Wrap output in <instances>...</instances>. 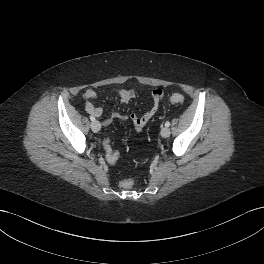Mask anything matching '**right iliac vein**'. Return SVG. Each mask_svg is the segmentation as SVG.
I'll list each match as a JSON object with an SVG mask.
<instances>
[{
	"mask_svg": "<svg viewBox=\"0 0 264 264\" xmlns=\"http://www.w3.org/2000/svg\"><path fill=\"white\" fill-rule=\"evenodd\" d=\"M91 129L94 131V132H98L100 129H101V125L98 121H93L91 123Z\"/></svg>",
	"mask_w": 264,
	"mask_h": 264,
	"instance_id": "right-iliac-vein-1",
	"label": "right iliac vein"
}]
</instances>
